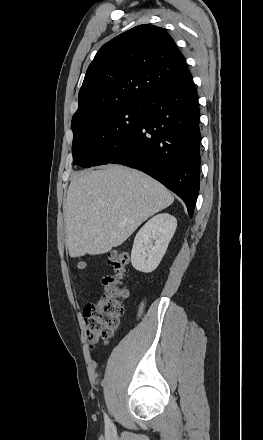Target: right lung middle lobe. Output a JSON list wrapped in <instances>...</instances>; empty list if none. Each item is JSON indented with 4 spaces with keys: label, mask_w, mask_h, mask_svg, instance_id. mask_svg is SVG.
I'll return each mask as SVG.
<instances>
[{
    "label": "right lung middle lobe",
    "mask_w": 263,
    "mask_h": 440,
    "mask_svg": "<svg viewBox=\"0 0 263 440\" xmlns=\"http://www.w3.org/2000/svg\"><path fill=\"white\" fill-rule=\"evenodd\" d=\"M144 114V102H133L85 118L72 128L73 164L91 167L109 163L114 148L129 137Z\"/></svg>",
    "instance_id": "obj_1"
}]
</instances>
